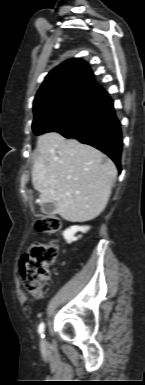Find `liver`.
I'll return each mask as SVG.
<instances>
[{
  "label": "liver",
  "instance_id": "1",
  "mask_svg": "<svg viewBox=\"0 0 145 385\" xmlns=\"http://www.w3.org/2000/svg\"><path fill=\"white\" fill-rule=\"evenodd\" d=\"M33 158L32 184L40 205L53 203L55 212L70 222L92 220L105 209L117 169L102 152L47 132L39 137Z\"/></svg>",
  "mask_w": 145,
  "mask_h": 385
}]
</instances>
